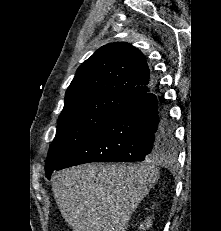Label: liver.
<instances>
[{
	"instance_id": "1",
	"label": "liver",
	"mask_w": 221,
	"mask_h": 231,
	"mask_svg": "<svg viewBox=\"0 0 221 231\" xmlns=\"http://www.w3.org/2000/svg\"><path fill=\"white\" fill-rule=\"evenodd\" d=\"M157 181L158 169L151 164L95 163L56 173L52 190L74 231H125Z\"/></svg>"
}]
</instances>
